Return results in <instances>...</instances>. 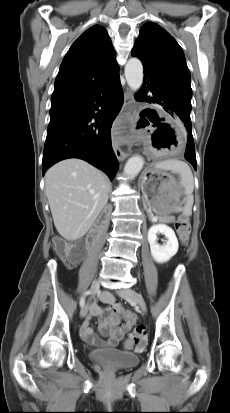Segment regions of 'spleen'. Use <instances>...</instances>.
Masks as SVG:
<instances>
[{
	"instance_id": "spleen-1",
	"label": "spleen",
	"mask_w": 230,
	"mask_h": 413,
	"mask_svg": "<svg viewBox=\"0 0 230 413\" xmlns=\"http://www.w3.org/2000/svg\"><path fill=\"white\" fill-rule=\"evenodd\" d=\"M155 168L170 171L179 175L180 185L184 188V194L186 195L185 205L182 212L185 216H190L192 214V205L194 200L192 195L194 190V178L188 164L181 160L169 159L159 162L155 165Z\"/></svg>"
}]
</instances>
